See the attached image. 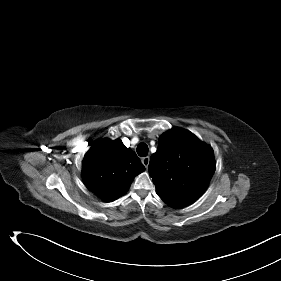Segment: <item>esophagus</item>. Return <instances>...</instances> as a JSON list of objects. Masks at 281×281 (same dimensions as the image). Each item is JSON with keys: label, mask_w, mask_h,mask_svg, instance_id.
Returning a JSON list of instances; mask_svg holds the SVG:
<instances>
[{"label": "esophagus", "mask_w": 281, "mask_h": 281, "mask_svg": "<svg viewBox=\"0 0 281 281\" xmlns=\"http://www.w3.org/2000/svg\"><path fill=\"white\" fill-rule=\"evenodd\" d=\"M141 161H142L143 165L146 168H148V165H149V162H150V158L148 156H146V157H143Z\"/></svg>", "instance_id": "obj_1"}]
</instances>
